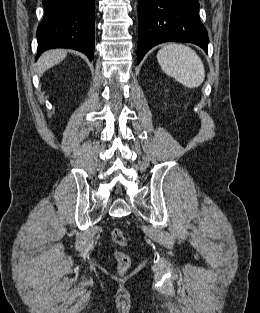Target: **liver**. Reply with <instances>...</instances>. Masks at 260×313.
Segmentation results:
<instances>
[{"label": "liver", "instance_id": "liver-1", "mask_svg": "<svg viewBox=\"0 0 260 313\" xmlns=\"http://www.w3.org/2000/svg\"><path fill=\"white\" fill-rule=\"evenodd\" d=\"M66 56L67 51L64 49H52L46 51L36 63L37 74L42 75L46 70L63 61Z\"/></svg>", "mask_w": 260, "mask_h": 313}]
</instances>
